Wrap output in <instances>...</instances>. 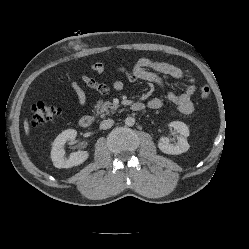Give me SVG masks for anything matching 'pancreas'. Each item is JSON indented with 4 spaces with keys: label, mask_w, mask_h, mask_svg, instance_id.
Listing matches in <instances>:
<instances>
[{
    "label": "pancreas",
    "mask_w": 249,
    "mask_h": 249,
    "mask_svg": "<svg viewBox=\"0 0 249 249\" xmlns=\"http://www.w3.org/2000/svg\"><path fill=\"white\" fill-rule=\"evenodd\" d=\"M95 108L98 114H102V116H104L109 114L110 112L113 113L118 108V105H114L109 101H98Z\"/></svg>",
    "instance_id": "1"
}]
</instances>
